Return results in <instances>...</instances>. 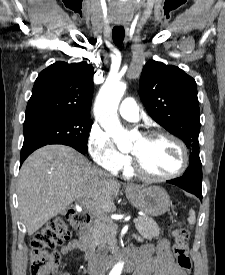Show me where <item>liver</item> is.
Masks as SVG:
<instances>
[{"mask_svg":"<svg viewBox=\"0 0 225 275\" xmlns=\"http://www.w3.org/2000/svg\"><path fill=\"white\" fill-rule=\"evenodd\" d=\"M120 184L65 145H47L23 163L18 177L19 211L29 236L75 199H91L96 209L115 210Z\"/></svg>","mask_w":225,"mask_h":275,"instance_id":"obj_1","label":"liver"}]
</instances>
